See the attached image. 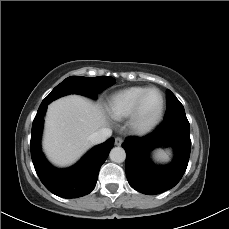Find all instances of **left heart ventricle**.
I'll list each match as a JSON object with an SVG mask.
<instances>
[{"instance_id":"b2bd125f","label":"left heart ventricle","mask_w":229,"mask_h":229,"mask_svg":"<svg viewBox=\"0 0 229 229\" xmlns=\"http://www.w3.org/2000/svg\"><path fill=\"white\" fill-rule=\"evenodd\" d=\"M160 96L158 92L152 91L147 94L142 105V114L144 119L152 118L160 107Z\"/></svg>"}]
</instances>
